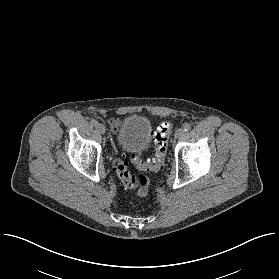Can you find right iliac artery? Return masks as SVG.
<instances>
[{
    "label": "right iliac artery",
    "instance_id": "1",
    "mask_svg": "<svg viewBox=\"0 0 279 279\" xmlns=\"http://www.w3.org/2000/svg\"><path fill=\"white\" fill-rule=\"evenodd\" d=\"M90 123H91L92 125H94V126H96V125L98 124V122H97L96 120H94V119H92Z\"/></svg>",
    "mask_w": 279,
    "mask_h": 279
}]
</instances>
